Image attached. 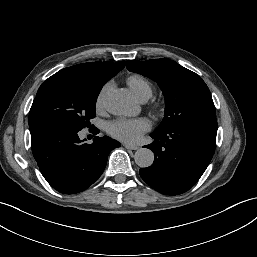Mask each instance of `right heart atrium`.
<instances>
[{
    "label": "right heart atrium",
    "mask_w": 257,
    "mask_h": 257,
    "mask_svg": "<svg viewBox=\"0 0 257 257\" xmlns=\"http://www.w3.org/2000/svg\"><path fill=\"white\" fill-rule=\"evenodd\" d=\"M109 84H106L105 86H103V88L100 90L97 99H96V108L97 109H101L103 107V103H104V97H105V93L107 91Z\"/></svg>",
    "instance_id": "right-heart-atrium-1"
}]
</instances>
